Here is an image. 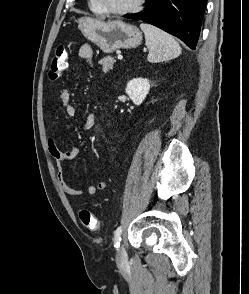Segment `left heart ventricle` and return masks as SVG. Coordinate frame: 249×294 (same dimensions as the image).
<instances>
[{"label": "left heart ventricle", "instance_id": "1", "mask_svg": "<svg viewBox=\"0 0 249 294\" xmlns=\"http://www.w3.org/2000/svg\"><path fill=\"white\" fill-rule=\"evenodd\" d=\"M103 4L112 9H124L131 6L136 0H102Z\"/></svg>", "mask_w": 249, "mask_h": 294}]
</instances>
